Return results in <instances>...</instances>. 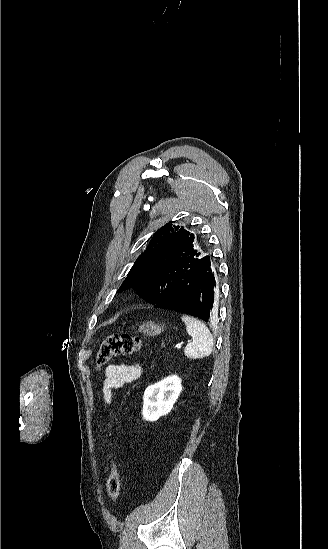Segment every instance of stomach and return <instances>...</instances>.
<instances>
[{
	"instance_id": "0dacf381",
	"label": "stomach",
	"mask_w": 328,
	"mask_h": 549,
	"mask_svg": "<svg viewBox=\"0 0 328 549\" xmlns=\"http://www.w3.org/2000/svg\"><path fill=\"white\" fill-rule=\"evenodd\" d=\"M166 327L163 323H154V321H145L143 325H140L138 331L147 335V337H155V335H160L165 331Z\"/></svg>"
}]
</instances>
